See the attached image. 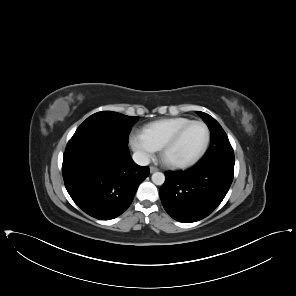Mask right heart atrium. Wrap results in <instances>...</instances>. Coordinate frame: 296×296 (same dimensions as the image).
I'll return each instance as SVG.
<instances>
[{
	"label": "right heart atrium",
	"mask_w": 296,
	"mask_h": 296,
	"mask_svg": "<svg viewBox=\"0 0 296 296\" xmlns=\"http://www.w3.org/2000/svg\"><path fill=\"white\" fill-rule=\"evenodd\" d=\"M131 148L144 161L151 159L158 148L141 132H133L129 137Z\"/></svg>",
	"instance_id": "d8ad5b80"
}]
</instances>
